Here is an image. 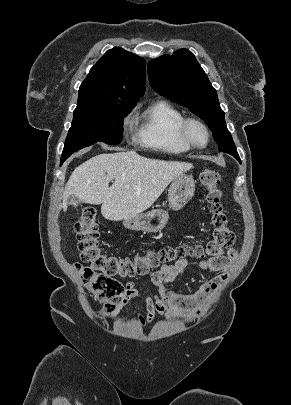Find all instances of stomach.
<instances>
[{"label": "stomach", "mask_w": 291, "mask_h": 405, "mask_svg": "<svg viewBox=\"0 0 291 405\" xmlns=\"http://www.w3.org/2000/svg\"><path fill=\"white\" fill-rule=\"evenodd\" d=\"M194 192L195 183L192 176L185 174L177 176L168 190L169 207L172 210L182 209L191 200ZM168 219V212L157 208L125 219L123 226L129 230L158 232L166 226Z\"/></svg>", "instance_id": "stomach-1"}]
</instances>
